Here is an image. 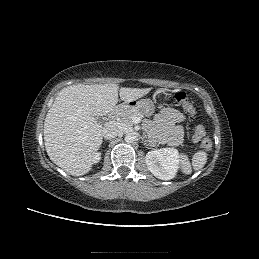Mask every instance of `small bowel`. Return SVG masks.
Returning a JSON list of instances; mask_svg holds the SVG:
<instances>
[{"label":"small bowel","mask_w":259,"mask_h":259,"mask_svg":"<svg viewBox=\"0 0 259 259\" xmlns=\"http://www.w3.org/2000/svg\"><path fill=\"white\" fill-rule=\"evenodd\" d=\"M185 120L184 114L173 108H165L157 114V137L161 141L179 144L182 140L183 130L178 125Z\"/></svg>","instance_id":"c3829d8e"}]
</instances>
